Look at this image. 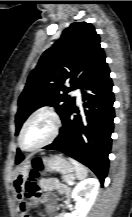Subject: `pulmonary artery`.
I'll return each mask as SVG.
<instances>
[{
  "label": "pulmonary artery",
  "instance_id": "obj_1",
  "mask_svg": "<svg viewBox=\"0 0 132 217\" xmlns=\"http://www.w3.org/2000/svg\"><path fill=\"white\" fill-rule=\"evenodd\" d=\"M75 96H76V98H77V101H78V102H81V100H82V95H81V90H80V89H76V90H75Z\"/></svg>",
  "mask_w": 132,
  "mask_h": 217
}]
</instances>
